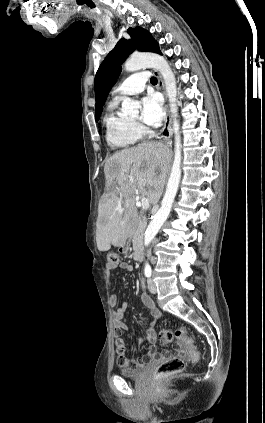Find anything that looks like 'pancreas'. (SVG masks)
<instances>
[{
  "instance_id": "obj_1",
  "label": "pancreas",
  "mask_w": 265,
  "mask_h": 423,
  "mask_svg": "<svg viewBox=\"0 0 265 423\" xmlns=\"http://www.w3.org/2000/svg\"><path fill=\"white\" fill-rule=\"evenodd\" d=\"M146 220L145 218H141L136 225V227L132 231V237L134 244H139L143 238V232L145 230Z\"/></svg>"
}]
</instances>
